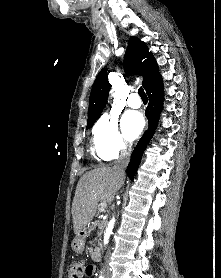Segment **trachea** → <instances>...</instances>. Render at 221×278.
Segmentation results:
<instances>
[{
  "instance_id": "trachea-1",
  "label": "trachea",
  "mask_w": 221,
  "mask_h": 278,
  "mask_svg": "<svg viewBox=\"0 0 221 278\" xmlns=\"http://www.w3.org/2000/svg\"><path fill=\"white\" fill-rule=\"evenodd\" d=\"M138 94L141 97L142 100H148L146 93L144 92V89L140 87L138 89Z\"/></svg>"
}]
</instances>
